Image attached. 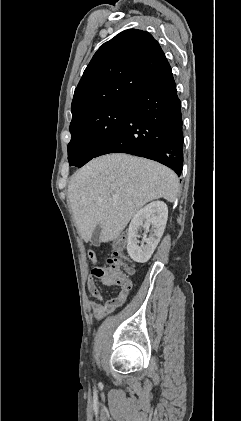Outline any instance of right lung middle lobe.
Instances as JSON below:
<instances>
[{
    "instance_id": "right-lung-middle-lobe-1",
    "label": "right lung middle lobe",
    "mask_w": 241,
    "mask_h": 421,
    "mask_svg": "<svg viewBox=\"0 0 241 421\" xmlns=\"http://www.w3.org/2000/svg\"><path fill=\"white\" fill-rule=\"evenodd\" d=\"M129 100L115 102L94 110L70 124L71 141L68 144L70 165L83 166L114 135L123 122Z\"/></svg>"
}]
</instances>
